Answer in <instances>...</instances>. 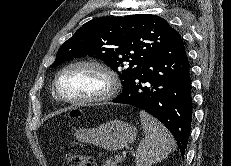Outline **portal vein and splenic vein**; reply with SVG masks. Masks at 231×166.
<instances>
[{"label": "portal vein and splenic vein", "instance_id": "18ae733b", "mask_svg": "<svg viewBox=\"0 0 231 166\" xmlns=\"http://www.w3.org/2000/svg\"><path fill=\"white\" fill-rule=\"evenodd\" d=\"M127 155V152L126 151H123L122 152V156H120V157H125Z\"/></svg>", "mask_w": 231, "mask_h": 166}]
</instances>
